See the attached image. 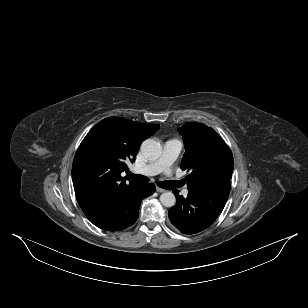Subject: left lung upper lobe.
Masks as SVG:
<instances>
[{"instance_id":"5c2ea615","label":"left lung upper lobe","mask_w":308,"mask_h":308,"mask_svg":"<svg viewBox=\"0 0 308 308\" xmlns=\"http://www.w3.org/2000/svg\"><path fill=\"white\" fill-rule=\"evenodd\" d=\"M178 130L186 149L181 169L191 171L186 177L188 190L231 179L233 155L217 132L198 123H186Z\"/></svg>"}]
</instances>
